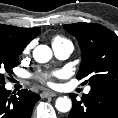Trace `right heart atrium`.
I'll return each mask as SVG.
<instances>
[{
	"label": "right heart atrium",
	"mask_w": 118,
	"mask_h": 118,
	"mask_svg": "<svg viewBox=\"0 0 118 118\" xmlns=\"http://www.w3.org/2000/svg\"><path fill=\"white\" fill-rule=\"evenodd\" d=\"M33 45H34L33 42L29 43V44L24 48V53H25V54H28V53L32 50Z\"/></svg>",
	"instance_id": "obj_1"
}]
</instances>
